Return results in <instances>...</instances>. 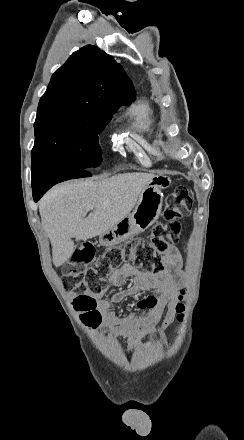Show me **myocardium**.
I'll return each mask as SVG.
<instances>
[{
	"label": "myocardium",
	"instance_id": "1",
	"mask_svg": "<svg viewBox=\"0 0 244 440\" xmlns=\"http://www.w3.org/2000/svg\"><path fill=\"white\" fill-rule=\"evenodd\" d=\"M126 129L128 130V131H131L133 128L132 127H130L129 129L126 127Z\"/></svg>",
	"mask_w": 244,
	"mask_h": 440
}]
</instances>
